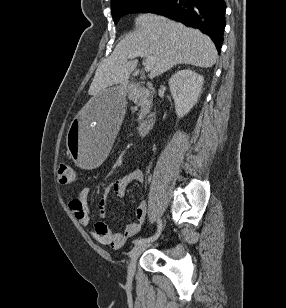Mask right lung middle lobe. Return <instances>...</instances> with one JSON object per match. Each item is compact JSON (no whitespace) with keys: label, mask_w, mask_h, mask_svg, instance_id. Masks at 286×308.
Listing matches in <instances>:
<instances>
[{"label":"right lung middle lobe","mask_w":286,"mask_h":308,"mask_svg":"<svg viewBox=\"0 0 286 308\" xmlns=\"http://www.w3.org/2000/svg\"><path fill=\"white\" fill-rule=\"evenodd\" d=\"M168 0H118L116 3L111 4L112 17L114 23H117L118 19L129 13L134 12H152L166 4Z\"/></svg>","instance_id":"dd1d6c3e"}]
</instances>
